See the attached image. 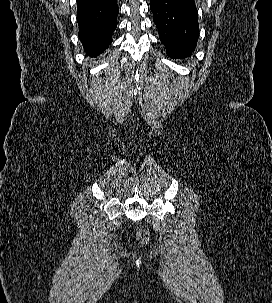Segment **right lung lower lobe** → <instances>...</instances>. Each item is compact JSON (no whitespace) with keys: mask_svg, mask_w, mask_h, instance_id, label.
Segmentation results:
<instances>
[{"mask_svg":"<svg viewBox=\"0 0 272 303\" xmlns=\"http://www.w3.org/2000/svg\"><path fill=\"white\" fill-rule=\"evenodd\" d=\"M117 15V0H77L79 38L89 56L101 54L111 44Z\"/></svg>","mask_w":272,"mask_h":303,"instance_id":"right-lung-lower-lobe-1","label":"right lung lower lobe"}]
</instances>
